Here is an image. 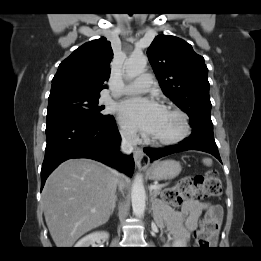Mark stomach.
Masks as SVG:
<instances>
[{
	"instance_id": "obj_1",
	"label": "stomach",
	"mask_w": 261,
	"mask_h": 261,
	"mask_svg": "<svg viewBox=\"0 0 261 261\" xmlns=\"http://www.w3.org/2000/svg\"><path fill=\"white\" fill-rule=\"evenodd\" d=\"M182 170L180 162L176 160H164L152 164L148 170L149 178L153 180L172 179Z\"/></svg>"
}]
</instances>
